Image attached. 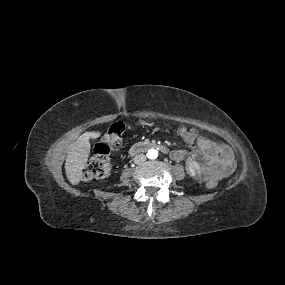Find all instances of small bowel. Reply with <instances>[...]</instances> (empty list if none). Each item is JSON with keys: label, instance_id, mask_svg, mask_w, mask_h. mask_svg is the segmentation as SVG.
<instances>
[{"label": "small bowel", "instance_id": "c3829d8e", "mask_svg": "<svg viewBox=\"0 0 285 285\" xmlns=\"http://www.w3.org/2000/svg\"><path fill=\"white\" fill-rule=\"evenodd\" d=\"M198 151L189 153L184 149L172 152L174 160H183L190 156L193 159L202 158L205 163L200 164V173L203 178L221 179L229 176L235 166L234 157L227 145L199 136L196 139Z\"/></svg>", "mask_w": 285, "mask_h": 285}]
</instances>
